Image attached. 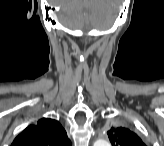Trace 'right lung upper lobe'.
Returning <instances> with one entry per match:
<instances>
[{
	"label": "right lung upper lobe",
	"mask_w": 164,
	"mask_h": 146,
	"mask_svg": "<svg viewBox=\"0 0 164 146\" xmlns=\"http://www.w3.org/2000/svg\"><path fill=\"white\" fill-rule=\"evenodd\" d=\"M71 142L61 124L42 118L28 126L13 141L12 146H70Z\"/></svg>",
	"instance_id": "obj_1"
}]
</instances>
